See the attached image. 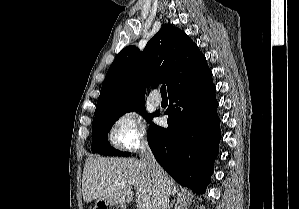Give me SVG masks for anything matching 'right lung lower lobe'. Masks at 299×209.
Wrapping results in <instances>:
<instances>
[{
	"instance_id": "1",
	"label": "right lung lower lobe",
	"mask_w": 299,
	"mask_h": 209,
	"mask_svg": "<svg viewBox=\"0 0 299 209\" xmlns=\"http://www.w3.org/2000/svg\"><path fill=\"white\" fill-rule=\"evenodd\" d=\"M168 96L169 127L152 123L148 143L157 162L180 185L204 192L221 138L212 72L172 89Z\"/></svg>"
}]
</instances>
